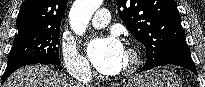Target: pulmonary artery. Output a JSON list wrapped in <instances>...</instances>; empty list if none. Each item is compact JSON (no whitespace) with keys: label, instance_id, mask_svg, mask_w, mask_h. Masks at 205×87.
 <instances>
[{"label":"pulmonary artery","instance_id":"pulmonary-artery-1","mask_svg":"<svg viewBox=\"0 0 205 87\" xmlns=\"http://www.w3.org/2000/svg\"><path fill=\"white\" fill-rule=\"evenodd\" d=\"M110 20V12L107 9H100L91 19V25L96 29L105 28L109 24Z\"/></svg>","mask_w":205,"mask_h":87}]
</instances>
